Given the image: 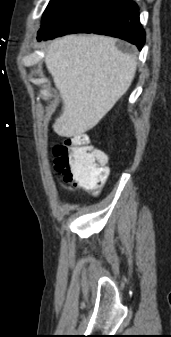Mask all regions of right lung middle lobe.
<instances>
[{"label": "right lung middle lobe", "mask_w": 171, "mask_h": 337, "mask_svg": "<svg viewBox=\"0 0 171 337\" xmlns=\"http://www.w3.org/2000/svg\"><path fill=\"white\" fill-rule=\"evenodd\" d=\"M71 1L72 0H51L43 14L42 26L49 23L57 15H59Z\"/></svg>", "instance_id": "right-lung-middle-lobe-1"}]
</instances>
